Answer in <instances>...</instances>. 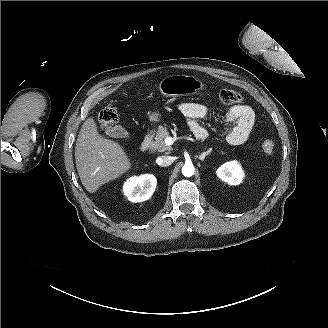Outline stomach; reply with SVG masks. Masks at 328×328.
Instances as JSON below:
<instances>
[{
	"mask_svg": "<svg viewBox=\"0 0 328 328\" xmlns=\"http://www.w3.org/2000/svg\"><path fill=\"white\" fill-rule=\"evenodd\" d=\"M159 89L161 94L166 97L189 96L202 91L204 84L194 76L170 75L160 82ZM149 118L152 122H156L159 120L160 115L153 112L149 114Z\"/></svg>",
	"mask_w": 328,
	"mask_h": 328,
	"instance_id": "stomach-1",
	"label": "stomach"
}]
</instances>
